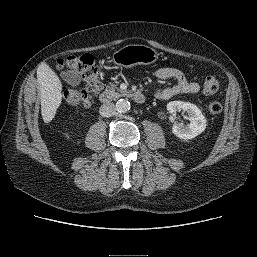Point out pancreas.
I'll list each match as a JSON object with an SVG mask.
<instances>
[{
	"label": "pancreas",
	"mask_w": 257,
	"mask_h": 257,
	"mask_svg": "<svg viewBox=\"0 0 257 257\" xmlns=\"http://www.w3.org/2000/svg\"><path fill=\"white\" fill-rule=\"evenodd\" d=\"M105 94L109 98H117L124 95V93L113 83L106 87Z\"/></svg>",
	"instance_id": "cf45deb5"
}]
</instances>
